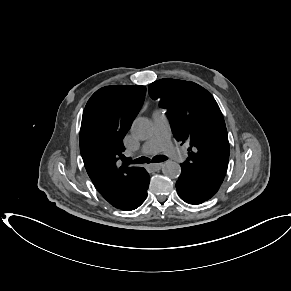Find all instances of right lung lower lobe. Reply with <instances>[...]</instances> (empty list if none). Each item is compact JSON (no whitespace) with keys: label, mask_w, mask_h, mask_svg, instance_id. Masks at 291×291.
Segmentation results:
<instances>
[{"label":"right lung lower lobe","mask_w":291,"mask_h":291,"mask_svg":"<svg viewBox=\"0 0 291 291\" xmlns=\"http://www.w3.org/2000/svg\"><path fill=\"white\" fill-rule=\"evenodd\" d=\"M139 185L135 195L120 207H116L121 210L130 211L138 208L147 197V189L149 187V174L144 168H141L138 176Z\"/></svg>","instance_id":"obj_1"}]
</instances>
